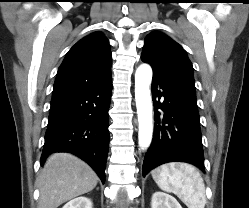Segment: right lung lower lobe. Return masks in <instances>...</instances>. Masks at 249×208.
<instances>
[{
  "instance_id": "obj_1",
  "label": "right lung lower lobe",
  "mask_w": 249,
  "mask_h": 208,
  "mask_svg": "<svg viewBox=\"0 0 249 208\" xmlns=\"http://www.w3.org/2000/svg\"><path fill=\"white\" fill-rule=\"evenodd\" d=\"M112 80L52 96L41 165L51 153L67 152L86 161L105 182Z\"/></svg>"
}]
</instances>
